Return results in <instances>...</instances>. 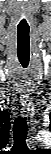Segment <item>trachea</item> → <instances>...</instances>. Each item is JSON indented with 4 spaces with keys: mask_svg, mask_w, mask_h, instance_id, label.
<instances>
[{
    "mask_svg": "<svg viewBox=\"0 0 51 154\" xmlns=\"http://www.w3.org/2000/svg\"><path fill=\"white\" fill-rule=\"evenodd\" d=\"M27 121L26 117H18L13 126V136L15 141H20L23 139V137H26L27 135Z\"/></svg>",
    "mask_w": 51,
    "mask_h": 154,
    "instance_id": "1",
    "label": "trachea"
}]
</instances>
